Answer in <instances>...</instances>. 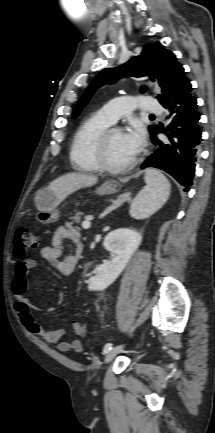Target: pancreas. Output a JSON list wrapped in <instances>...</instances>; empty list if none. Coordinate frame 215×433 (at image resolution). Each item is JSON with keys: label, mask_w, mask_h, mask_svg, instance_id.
<instances>
[{"label": "pancreas", "mask_w": 215, "mask_h": 433, "mask_svg": "<svg viewBox=\"0 0 215 433\" xmlns=\"http://www.w3.org/2000/svg\"><path fill=\"white\" fill-rule=\"evenodd\" d=\"M81 215L82 213H77L75 214V216H72L70 219L75 223V224H80L81 222Z\"/></svg>", "instance_id": "pancreas-1"}]
</instances>
